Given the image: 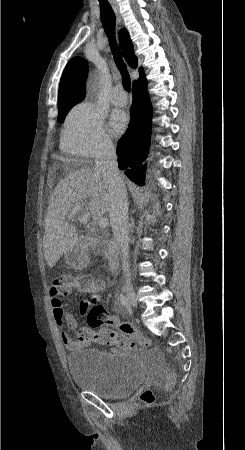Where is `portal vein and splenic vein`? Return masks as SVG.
Segmentation results:
<instances>
[{
	"label": "portal vein and splenic vein",
	"instance_id": "obj_1",
	"mask_svg": "<svg viewBox=\"0 0 245 450\" xmlns=\"http://www.w3.org/2000/svg\"><path fill=\"white\" fill-rule=\"evenodd\" d=\"M82 210V206H76L74 207V209L72 210V212L70 213V215L68 216L69 219H72L75 214H77L78 212H80ZM98 225L101 228H106L108 226V219L106 218H100L98 221Z\"/></svg>",
	"mask_w": 245,
	"mask_h": 450
}]
</instances>
